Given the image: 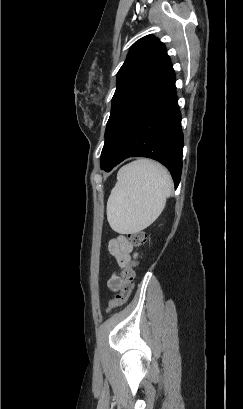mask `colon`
I'll list each match as a JSON object with an SVG mask.
<instances>
[{"instance_id": "colon-1", "label": "colon", "mask_w": 243, "mask_h": 409, "mask_svg": "<svg viewBox=\"0 0 243 409\" xmlns=\"http://www.w3.org/2000/svg\"><path fill=\"white\" fill-rule=\"evenodd\" d=\"M129 242L134 247L142 246L147 240V234L144 230H135L127 234ZM137 262H131L126 265L121 272L120 293L109 302L107 312H111L117 307L124 305L133 289L134 268Z\"/></svg>"}]
</instances>
